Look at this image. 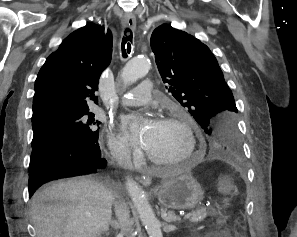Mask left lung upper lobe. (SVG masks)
<instances>
[{"label":"left lung upper lobe","instance_id":"obj_1","mask_svg":"<svg viewBox=\"0 0 297 237\" xmlns=\"http://www.w3.org/2000/svg\"><path fill=\"white\" fill-rule=\"evenodd\" d=\"M150 45L166 88L210 136L208 148L222 157L239 156L237 108L210 49L168 24L153 31Z\"/></svg>","mask_w":297,"mask_h":237}]
</instances>
